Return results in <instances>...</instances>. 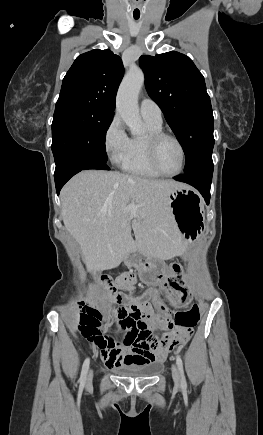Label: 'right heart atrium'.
<instances>
[{"label":"right heart atrium","instance_id":"d8ad5b80","mask_svg":"<svg viewBox=\"0 0 263 435\" xmlns=\"http://www.w3.org/2000/svg\"><path fill=\"white\" fill-rule=\"evenodd\" d=\"M103 142L109 159L114 164H121L126 154L129 137L118 115H115L109 122L104 133Z\"/></svg>","mask_w":263,"mask_h":435}]
</instances>
